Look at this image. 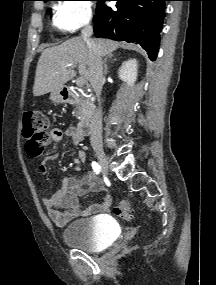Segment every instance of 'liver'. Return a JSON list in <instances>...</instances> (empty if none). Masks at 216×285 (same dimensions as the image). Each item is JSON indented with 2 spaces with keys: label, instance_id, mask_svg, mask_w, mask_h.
Wrapping results in <instances>:
<instances>
[{
  "label": "liver",
  "instance_id": "obj_1",
  "mask_svg": "<svg viewBox=\"0 0 216 285\" xmlns=\"http://www.w3.org/2000/svg\"><path fill=\"white\" fill-rule=\"evenodd\" d=\"M101 56H108L120 44L110 39H91ZM90 51L82 37L69 39L62 44L45 49L38 61L33 86L35 97L64 87L75 75L69 64H78L80 75L89 79Z\"/></svg>",
  "mask_w": 216,
  "mask_h": 285
}]
</instances>
